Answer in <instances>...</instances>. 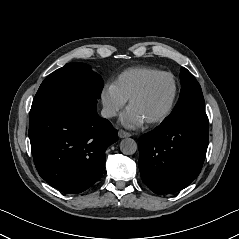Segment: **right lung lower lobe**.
<instances>
[{"instance_id":"1","label":"right lung lower lobe","mask_w":239,"mask_h":239,"mask_svg":"<svg viewBox=\"0 0 239 239\" xmlns=\"http://www.w3.org/2000/svg\"><path fill=\"white\" fill-rule=\"evenodd\" d=\"M97 98L81 92L55 96L30 111L29 136L39 175L70 194L90 188L102 175L105 151L117 130L96 111Z\"/></svg>"}]
</instances>
